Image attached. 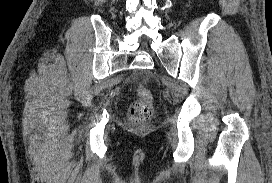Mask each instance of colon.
<instances>
[{
    "label": "colon",
    "mask_w": 272,
    "mask_h": 183,
    "mask_svg": "<svg viewBox=\"0 0 272 183\" xmlns=\"http://www.w3.org/2000/svg\"><path fill=\"white\" fill-rule=\"evenodd\" d=\"M140 99L133 102L130 108V116L134 122L147 120L152 115V96L146 86L138 88Z\"/></svg>",
    "instance_id": "colon-1"
}]
</instances>
